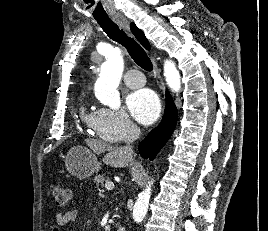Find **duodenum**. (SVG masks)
Instances as JSON below:
<instances>
[{
  "instance_id": "410a0bca",
  "label": "duodenum",
  "mask_w": 268,
  "mask_h": 231,
  "mask_svg": "<svg viewBox=\"0 0 268 231\" xmlns=\"http://www.w3.org/2000/svg\"><path fill=\"white\" fill-rule=\"evenodd\" d=\"M116 231H126V228L125 227H119Z\"/></svg>"
}]
</instances>
